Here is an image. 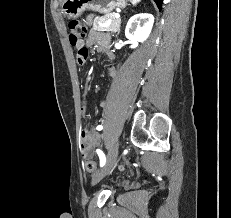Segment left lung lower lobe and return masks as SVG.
Masks as SVG:
<instances>
[{"label":"left lung lower lobe","mask_w":231,"mask_h":218,"mask_svg":"<svg viewBox=\"0 0 231 218\" xmlns=\"http://www.w3.org/2000/svg\"><path fill=\"white\" fill-rule=\"evenodd\" d=\"M158 6L159 9H161V5H162V2L163 0H154Z\"/></svg>","instance_id":"obj_1"}]
</instances>
